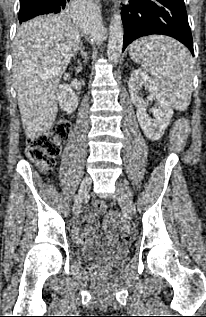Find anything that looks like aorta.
<instances>
[{"instance_id": "obj_1", "label": "aorta", "mask_w": 206, "mask_h": 317, "mask_svg": "<svg viewBox=\"0 0 206 317\" xmlns=\"http://www.w3.org/2000/svg\"><path fill=\"white\" fill-rule=\"evenodd\" d=\"M79 25L82 29L92 35L99 33V20L94 16V13L89 9H84L78 19ZM123 48V23L121 15L117 12L114 13L110 28L108 40V58L112 63H118Z\"/></svg>"}]
</instances>
